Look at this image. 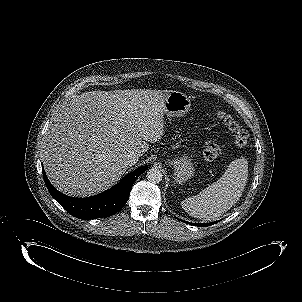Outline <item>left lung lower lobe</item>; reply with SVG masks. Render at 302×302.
Wrapping results in <instances>:
<instances>
[{
  "instance_id": "obj_1",
  "label": "left lung lower lobe",
  "mask_w": 302,
  "mask_h": 302,
  "mask_svg": "<svg viewBox=\"0 0 302 302\" xmlns=\"http://www.w3.org/2000/svg\"><path fill=\"white\" fill-rule=\"evenodd\" d=\"M215 223H217V222H213V223H204V224H195V225H197V226H210V225L215 224Z\"/></svg>"
}]
</instances>
